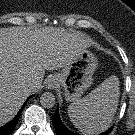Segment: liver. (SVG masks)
<instances>
[{
    "label": "liver",
    "instance_id": "liver-1",
    "mask_svg": "<svg viewBox=\"0 0 135 135\" xmlns=\"http://www.w3.org/2000/svg\"><path fill=\"white\" fill-rule=\"evenodd\" d=\"M88 46L80 34L62 29L0 28V126L41 88L45 70L64 67Z\"/></svg>",
    "mask_w": 135,
    "mask_h": 135
}]
</instances>
